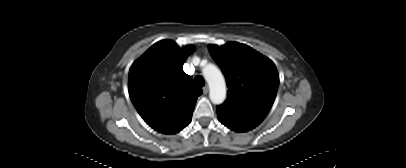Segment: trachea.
<instances>
[{
    "label": "trachea",
    "mask_w": 406,
    "mask_h": 168,
    "mask_svg": "<svg viewBox=\"0 0 406 168\" xmlns=\"http://www.w3.org/2000/svg\"><path fill=\"white\" fill-rule=\"evenodd\" d=\"M194 82L197 86L203 87L205 85L204 78L200 75H197L194 79Z\"/></svg>",
    "instance_id": "obj_1"
}]
</instances>
